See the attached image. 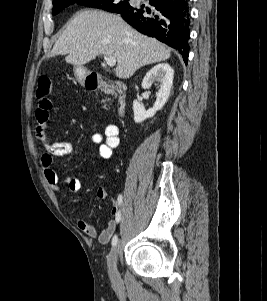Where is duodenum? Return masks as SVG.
<instances>
[{"mask_svg":"<svg viewBox=\"0 0 267 301\" xmlns=\"http://www.w3.org/2000/svg\"><path fill=\"white\" fill-rule=\"evenodd\" d=\"M86 89L90 91H100L105 94L115 92L117 94L116 110L119 116H123L126 111V85L121 81L110 82L97 75L86 74L84 76Z\"/></svg>","mask_w":267,"mask_h":301,"instance_id":"duodenum-1","label":"duodenum"}]
</instances>
